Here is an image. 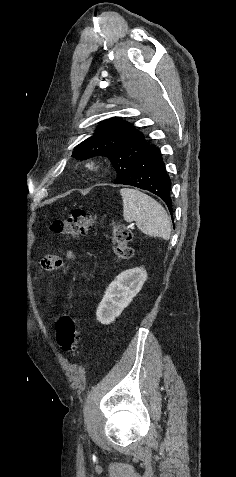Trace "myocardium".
<instances>
[{
	"mask_svg": "<svg viewBox=\"0 0 236 477\" xmlns=\"http://www.w3.org/2000/svg\"><path fill=\"white\" fill-rule=\"evenodd\" d=\"M99 163L95 160H89L87 163H86V168L90 171V172H97L99 170Z\"/></svg>",
	"mask_w": 236,
	"mask_h": 477,
	"instance_id": "obj_1",
	"label": "myocardium"
}]
</instances>
